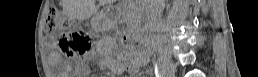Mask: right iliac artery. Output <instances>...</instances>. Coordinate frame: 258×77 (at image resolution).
<instances>
[{"label":"right iliac artery","instance_id":"right-iliac-artery-1","mask_svg":"<svg viewBox=\"0 0 258 77\" xmlns=\"http://www.w3.org/2000/svg\"><path fill=\"white\" fill-rule=\"evenodd\" d=\"M156 77H161L160 73L158 71L156 72Z\"/></svg>","mask_w":258,"mask_h":77}]
</instances>
